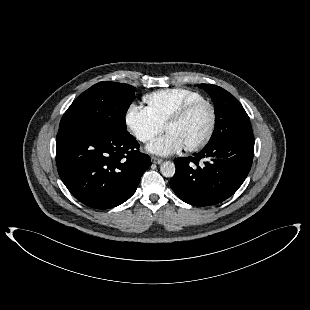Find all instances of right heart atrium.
<instances>
[{
    "instance_id": "1",
    "label": "right heart atrium",
    "mask_w": 310,
    "mask_h": 310,
    "mask_svg": "<svg viewBox=\"0 0 310 310\" xmlns=\"http://www.w3.org/2000/svg\"><path fill=\"white\" fill-rule=\"evenodd\" d=\"M125 125L129 132L142 143L151 141L160 134L163 126L149 113L147 108L132 103L125 113Z\"/></svg>"
}]
</instances>
